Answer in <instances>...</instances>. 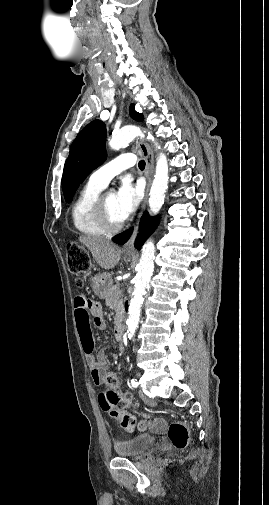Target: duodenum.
<instances>
[{
	"label": "duodenum",
	"instance_id": "obj_1",
	"mask_svg": "<svg viewBox=\"0 0 269 505\" xmlns=\"http://www.w3.org/2000/svg\"><path fill=\"white\" fill-rule=\"evenodd\" d=\"M125 331V325L122 320H118L115 325V337L117 341L122 342Z\"/></svg>",
	"mask_w": 269,
	"mask_h": 505
}]
</instances>
